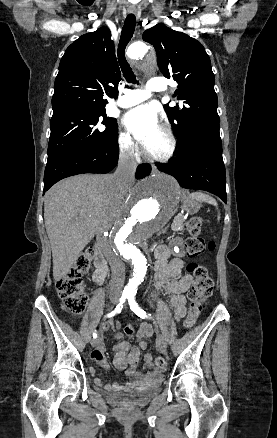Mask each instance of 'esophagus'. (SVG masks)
I'll return each mask as SVG.
<instances>
[{
	"mask_svg": "<svg viewBox=\"0 0 277 438\" xmlns=\"http://www.w3.org/2000/svg\"><path fill=\"white\" fill-rule=\"evenodd\" d=\"M128 13H132V14H136L137 13V9L135 7H129L128 8Z\"/></svg>",
	"mask_w": 277,
	"mask_h": 438,
	"instance_id": "esophagus-1",
	"label": "esophagus"
}]
</instances>
